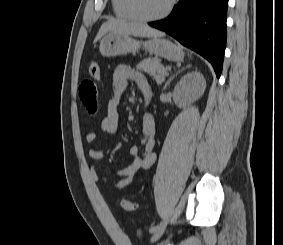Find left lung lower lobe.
I'll use <instances>...</instances> for the list:
<instances>
[{"instance_id":"left-lung-lower-lobe-1","label":"left lung lower lobe","mask_w":283,"mask_h":245,"mask_svg":"<svg viewBox=\"0 0 283 245\" xmlns=\"http://www.w3.org/2000/svg\"><path fill=\"white\" fill-rule=\"evenodd\" d=\"M228 0H179L165 19L149 25L206 58L220 77L226 46Z\"/></svg>"}]
</instances>
